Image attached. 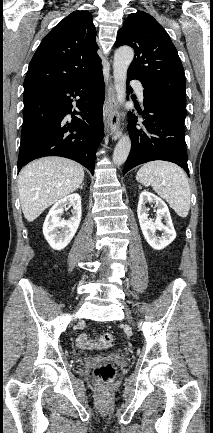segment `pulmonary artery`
Instances as JSON below:
<instances>
[{"mask_svg":"<svg viewBox=\"0 0 213 433\" xmlns=\"http://www.w3.org/2000/svg\"><path fill=\"white\" fill-rule=\"evenodd\" d=\"M131 84L135 88L139 100L143 101V99H144V93H143V86H142V84L139 81H137V80L131 81Z\"/></svg>","mask_w":213,"mask_h":433,"instance_id":"obj_1","label":"pulmonary artery"}]
</instances>
